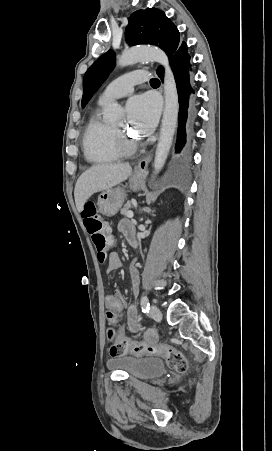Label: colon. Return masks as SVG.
<instances>
[{
	"instance_id": "1",
	"label": "colon",
	"mask_w": 272,
	"mask_h": 451,
	"mask_svg": "<svg viewBox=\"0 0 272 451\" xmlns=\"http://www.w3.org/2000/svg\"><path fill=\"white\" fill-rule=\"evenodd\" d=\"M82 216L85 227L91 235L96 250V256L99 263H104L109 254V236L108 230L103 229V223L95 205H87L83 208ZM107 343L109 345V354L111 357L122 356L129 351L139 357L140 354H165L170 367L177 372L186 371V360L181 352L174 351L173 345H153L152 342H131L128 338L117 339V333L114 327L106 328Z\"/></svg>"
}]
</instances>
